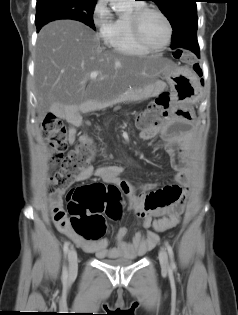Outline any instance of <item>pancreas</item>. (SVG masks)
<instances>
[{"label":"pancreas","instance_id":"pancreas-1","mask_svg":"<svg viewBox=\"0 0 238 315\" xmlns=\"http://www.w3.org/2000/svg\"><path fill=\"white\" fill-rule=\"evenodd\" d=\"M143 99V90L142 89H133L127 95L116 98L111 101V103L116 104L120 101H137Z\"/></svg>","mask_w":238,"mask_h":315}]
</instances>
